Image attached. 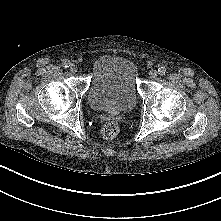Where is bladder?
<instances>
[{"instance_id":"obj_1","label":"bladder","mask_w":221,"mask_h":221,"mask_svg":"<svg viewBox=\"0 0 221 221\" xmlns=\"http://www.w3.org/2000/svg\"><path fill=\"white\" fill-rule=\"evenodd\" d=\"M138 66L129 57L107 53L93 64L88 103L97 111H129L138 100Z\"/></svg>"}]
</instances>
